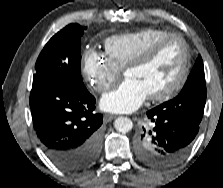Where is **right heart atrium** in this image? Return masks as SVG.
Segmentation results:
<instances>
[{"mask_svg": "<svg viewBox=\"0 0 223 188\" xmlns=\"http://www.w3.org/2000/svg\"><path fill=\"white\" fill-rule=\"evenodd\" d=\"M119 72L117 65L106 54L89 50L83 57V77L98 93L107 91L118 78Z\"/></svg>", "mask_w": 223, "mask_h": 188, "instance_id": "right-heart-atrium-1", "label": "right heart atrium"}]
</instances>
